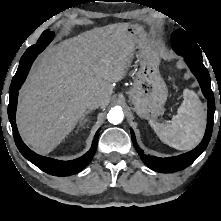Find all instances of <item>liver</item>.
I'll return each instance as SVG.
<instances>
[{
    "label": "liver",
    "mask_w": 221,
    "mask_h": 221,
    "mask_svg": "<svg viewBox=\"0 0 221 221\" xmlns=\"http://www.w3.org/2000/svg\"><path fill=\"white\" fill-rule=\"evenodd\" d=\"M128 23L95 28L47 48L19 91L16 114L23 140L39 154L57 147L82 120L86 102L110 103L113 82L131 65L135 42Z\"/></svg>",
    "instance_id": "obj_1"
}]
</instances>
